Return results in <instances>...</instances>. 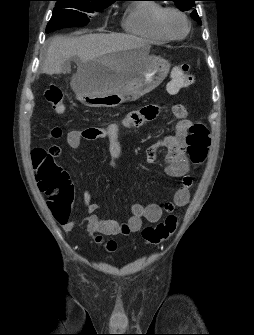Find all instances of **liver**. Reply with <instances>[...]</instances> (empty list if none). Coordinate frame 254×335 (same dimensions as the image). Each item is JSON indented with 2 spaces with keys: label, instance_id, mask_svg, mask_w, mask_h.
<instances>
[{
  "label": "liver",
  "instance_id": "6515ba94",
  "mask_svg": "<svg viewBox=\"0 0 254 335\" xmlns=\"http://www.w3.org/2000/svg\"><path fill=\"white\" fill-rule=\"evenodd\" d=\"M143 45V41L131 35L111 33L87 34L79 37H66L56 35L49 41L46 57L42 71L45 74H60L64 66L72 58L78 63L77 73L72 78V88L76 92V79H87L90 77V70L87 65L99 58L106 59L109 55L121 52L126 49ZM147 69L146 64L134 68L115 70L98 76L99 81H104L102 89L107 92L120 90L136 74ZM67 70V71H68Z\"/></svg>",
  "mask_w": 254,
  "mask_h": 335
}]
</instances>
